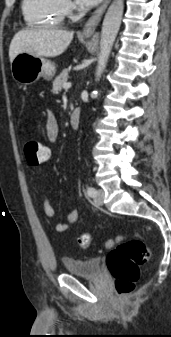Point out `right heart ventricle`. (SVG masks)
Listing matches in <instances>:
<instances>
[{"instance_id": "right-heart-ventricle-1", "label": "right heart ventricle", "mask_w": 171, "mask_h": 337, "mask_svg": "<svg viewBox=\"0 0 171 337\" xmlns=\"http://www.w3.org/2000/svg\"><path fill=\"white\" fill-rule=\"evenodd\" d=\"M22 13L34 27L59 26L66 16L63 0H22Z\"/></svg>"}]
</instances>
